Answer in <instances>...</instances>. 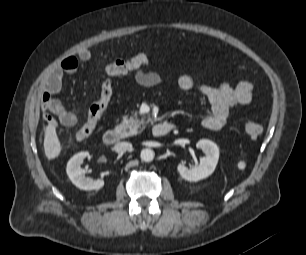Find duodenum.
<instances>
[{
	"label": "duodenum",
	"instance_id": "1",
	"mask_svg": "<svg viewBox=\"0 0 306 255\" xmlns=\"http://www.w3.org/2000/svg\"><path fill=\"white\" fill-rule=\"evenodd\" d=\"M173 128L174 125L172 123L169 122L158 123L155 126H153L152 134L155 137H162L168 134ZM118 140H119V133L115 129H109L103 135V142L108 146L117 143Z\"/></svg>",
	"mask_w": 306,
	"mask_h": 255
}]
</instances>
